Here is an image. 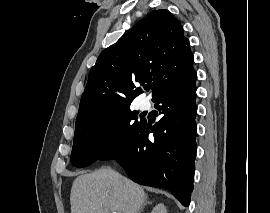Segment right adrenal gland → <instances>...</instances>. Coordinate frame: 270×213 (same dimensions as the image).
Segmentation results:
<instances>
[{
    "mask_svg": "<svg viewBox=\"0 0 270 213\" xmlns=\"http://www.w3.org/2000/svg\"><path fill=\"white\" fill-rule=\"evenodd\" d=\"M149 204H152V202H151V201H146V202L143 204V206L140 208V210H139L138 213H141V212L143 211L144 207H145L146 205H149Z\"/></svg>",
    "mask_w": 270,
    "mask_h": 213,
    "instance_id": "1",
    "label": "right adrenal gland"
}]
</instances>
